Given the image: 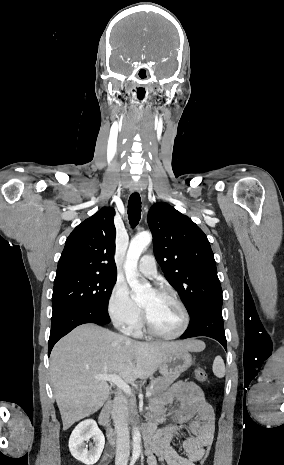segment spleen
<instances>
[{
    "label": "spleen",
    "instance_id": "spleen-1",
    "mask_svg": "<svg viewBox=\"0 0 284 465\" xmlns=\"http://www.w3.org/2000/svg\"><path fill=\"white\" fill-rule=\"evenodd\" d=\"M212 371L215 377H218V379L225 377L226 369L222 357H215Z\"/></svg>",
    "mask_w": 284,
    "mask_h": 465
}]
</instances>
